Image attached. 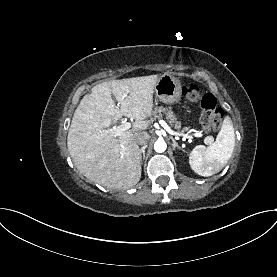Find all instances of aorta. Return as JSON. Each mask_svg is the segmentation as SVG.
<instances>
[{
	"mask_svg": "<svg viewBox=\"0 0 277 277\" xmlns=\"http://www.w3.org/2000/svg\"><path fill=\"white\" fill-rule=\"evenodd\" d=\"M167 144L164 140H157L154 144V150L158 153H162L166 150Z\"/></svg>",
	"mask_w": 277,
	"mask_h": 277,
	"instance_id": "aorta-1",
	"label": "aorta"
}]
</instances>
